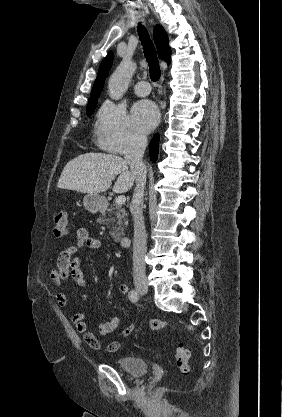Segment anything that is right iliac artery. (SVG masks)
Returning <instances> with one entry per match:
<instances>
[{"mask_svg": "<svg viewBox=\"0 0 282 417\" xmlns=\"http://www.w3.org/2000/svg\"><path fill=\"white\" fill-rule=\"evenodd\" d=\"M129 300L131 302H134V303L139 300V294H138V292L136 290L130 291V293H129Z\"/></svg>", "mask_w": 282, "mask_h": 417, "instance_id": "obj_1", "label": "right iliac artery"}]
</instances>
